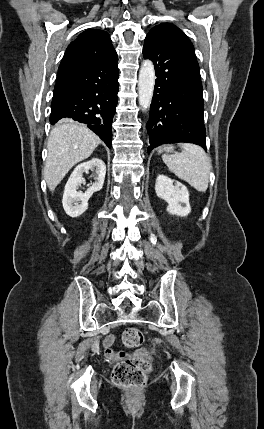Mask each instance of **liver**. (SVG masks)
Here are the masks:
<instances>
[{"label":"liver","mask_w":264,"mask_h":429,"mask_svg":"<svg viewBox=\"0 0 264 429\" xmlns=\"http://www.w3.org/2000/svg\"><path fill=\"white\" fill-rule=\"evenodd\" d=\"M100 138L85 125L63 119L50 132L43 176L50 191L77 163L87 159L100 144Z\"/></svg>","instance_id":"6515ba94"}]
</instances>
